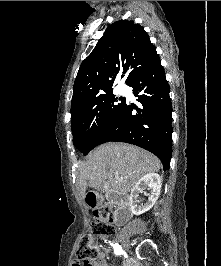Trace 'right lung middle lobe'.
<instances>
[{
    "instance_id": "obj_1",
    "label": "right lung middle lobe",
    "mask_w": 221,
    "mask_h": 266,
    "mask_svg": "<svg viewBox=\"0 0 221 266\" xmlns=\"http://www.w3.org/2000/svg\"><path fill=\"white\" fill-rule=\"evenodd\" d=\"M125 103V98L115 97L112 90L97 96L86 111L71 118L74 146L88 154L117 119Z\"/></svg>"
}]
</instances>
